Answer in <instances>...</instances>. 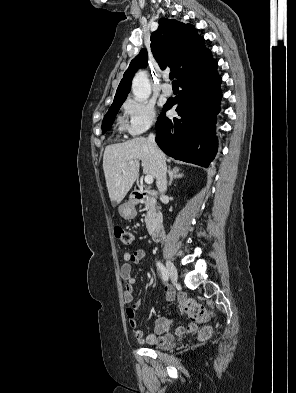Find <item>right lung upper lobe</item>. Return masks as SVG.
Here are the masks:
<instances>
[{
	"label": "right lung upper lobe",
	"mask_w": 296,
	"mask_h": 393,
	"mask_svg": "<svg viewBox=\"0 0 296 393\" xmlns=\"http://www.w3.org/2000/svg\"><path fill=\"white\" fill-rule=\"evenodd\" d=\"M205 40L190 24L177 20L161 19L159 28L151 35V50L159 66L175 71L176 78L206 51ZM147 66V52L142 49L124 73L114 101L126 99L135 72Z\"/></svg>",
	"instance_id": "1"
}]
</instances>
